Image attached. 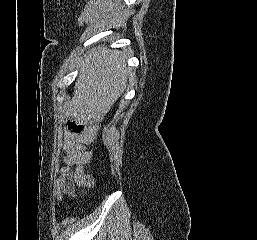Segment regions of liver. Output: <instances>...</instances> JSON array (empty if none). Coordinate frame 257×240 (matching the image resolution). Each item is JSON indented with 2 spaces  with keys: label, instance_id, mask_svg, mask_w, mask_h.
I'll return each mask as SVG.
<instances>
[{
  "label": "liver",
  "instance_id": "obj_1",
  "mask_svg": "<svg viewBox=\"0 0 257 240\" xmlns=\"http://www.w3.org/2000/svg\"><path fill=\"white\" fill-rule=\"evenodd\" d=\"M132 71L125 66V55L100 48L82 62L73 98L64 106L66 116L84 122L100 118L123 93Z\"/></svg>",
  "mask_w": 257,
  "mask_h": 240
}]
</instances>
